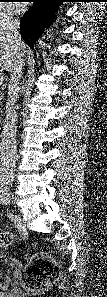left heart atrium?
I'll use <instances>...</instances> for the list:
<instances>
[{
	"instance_id": "39dd6f15",
	"label": "left heart atrium",
	"mask_w": 107,
	"mask_h": 297,
	"mask_svg": "<svg viewBox=\"0 0 107 297\" xmlns=\"http://www.w3.org/2000/svg\"><path fill=\"white\" fill-rule=\"evenodd\" d=\"M10 9L16 13H21L24 11L25 6L22 3H11Z\"/></svg>"
}]
</instances>
